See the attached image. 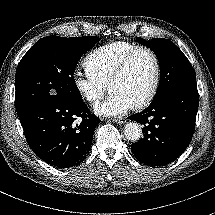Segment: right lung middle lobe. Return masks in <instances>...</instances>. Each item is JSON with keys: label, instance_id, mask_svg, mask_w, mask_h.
I'll use <instances>...</instances> for the list:
<instances>
[{"label": "right lung middle lobe", "instance_id": "dd1d6c3e", "mask_svg": "<svg viewBox=\"0 0 215 215\" xmlns=\"http://www.w3.org/2000/svg\"><path fill=\"white\" fill-rule=\"evenodd\" d=\"M100 38H63L50 35L37 41L23 56L15 76L16 110L44 98L82 101L74 71L82 54Z\"/></svg>", "mask_w": 215, "mask_h": 215}]
</instances>
